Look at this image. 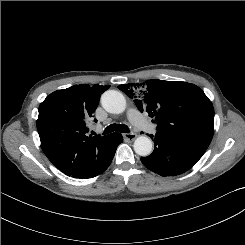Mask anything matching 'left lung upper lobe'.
Wrapping results in <instances>:
<instances>
[{
	"instance_id": "left-lung-upper-lobe-1",
	"label": "left lung upper lobe",
	"mask_w": 245,
	"mask_h": 245,
	"mask_svg": "<svg viewBox=\"0 0 245 245\" xmlns=\"http://www.w3.org/2000/svg\"><path fill=\"white\" fill-rule=\"evenodd\" d=\"M118 88L135 99L139 111L155 117L157 132L188 136L210 144L214 109L198 86L152 79L142 84H122ZM135 90H139L138 95Z\"/></svg>"
}]
</instances>
